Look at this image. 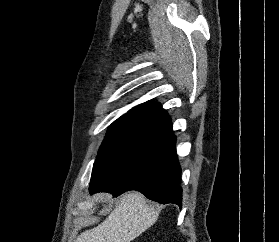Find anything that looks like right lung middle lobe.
I'll list each match as a JSON object with an SVG mask.
<instances>
[{
  "instance_id": "dd1d6c3e",
  "label": "right lung middle lobe",
  "mask_w": 279,
  "mask_h": 242,
  "mask_svg": "<svg viewBox=\"0 0 279 242\" xmlns=\"http://www.w3.org/2000/svg\"><path fill=\"white\" fill-rule=\"evenodd\" d=\"M163 119L145 114H125L109 128L93 166L91 181H100L152 139Z\"/></svg>"
}]
</instances>
